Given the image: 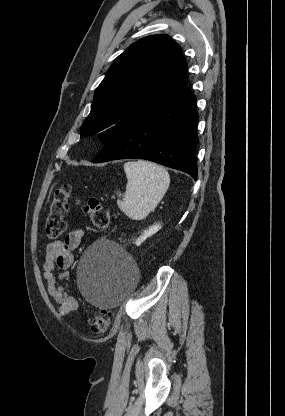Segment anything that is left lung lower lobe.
I'll return each mask as SVG.
<instances>
[{
	"label": "left lung lower lobe",
	"mask_w": 285,
	"mask_h": 416,
	"mask_svg": "<svg viewBox=\"0 0 285 416\" xmlns=\"http://www.w3.org/2000/svg\"><path fill=\"white\" fill-rule=\"evenodd\" d=\"M198 114L196 97L186 87L174 99L123 128L93 163L147 159L197 178Z\"/></svg>",
	"instance_id": "1"
}]
</instances>
